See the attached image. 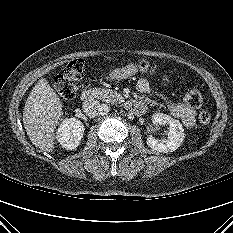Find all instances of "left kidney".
Listing matches in <instances>:
<instances>
[{
	"label": "left kidney",
	"mask_w": 233,
	"mask_h": 233,
	"mask_svg": "<svg viewBox=\"0 0 233 233\" xmlns=\"http://www.w3.org/2000/svg\"><path fill=\"white\" fill-rule=\"evenodd\" d=\"M152 123L154 125H169V131L167 139H155L153 135H149L147 138V145L153 150L168 153L178 149L185 138L184 129L179 120L172 118L171 116L163 113H155L152 115Z\"/></svg>",
	"instance_id": "5707ae66"
}]
</instances>
